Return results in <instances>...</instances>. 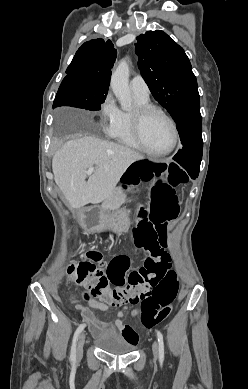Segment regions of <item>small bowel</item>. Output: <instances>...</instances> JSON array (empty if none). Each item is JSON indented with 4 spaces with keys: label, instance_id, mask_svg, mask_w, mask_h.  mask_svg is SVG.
Returning a JSON list of instances; mask_svg holds the SVG:
<instances>
[{
    "label": "small bowel",
    "instance_id": "c3829d8e",
    "mask_svg": "<svg viewBox=\"0 0 248 389\" xmlns=\"http://www.w3.org/2000/svg\"><path fill=\"white\" fill-rule=\"evenodd\" d=\"M116 290L122 292L124 291V288H117ZM71 301L72 303L75 304L76 308H78L81 311L82 317L89 324L92 330L101 329L104 333L109 335H122L126 337L128 340H130L132 343L136 345L138 344L139 339L137 333L133 330L132 327L128 325H124L121 320L124 315V312L127 310L126 304L129 303L124 304L122 308L116 312V318L114 320L108 322H100L99 320L96 319V317L88 308L80 304L77 298L71 297ZM89 304L91 307L102 311H109V305H113L110 302L99 297L95 300L90 301ZM132 315L133 316L139 315V310L137 309L134 310L132 312Z\"/></svg>",
    "mask_w": 248,
    "mask_h": 389
}]
</instances>
